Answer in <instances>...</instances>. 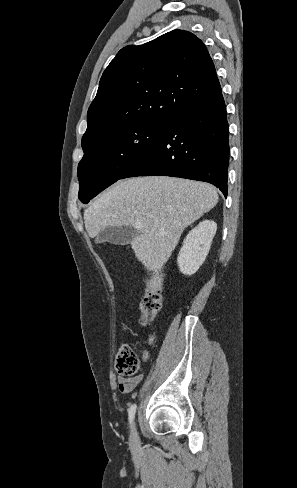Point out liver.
Returning a JSON list of instances; mask_svg holds the SVG:
<instances>
[{
	"mask_svg": "<svg viewBox=\"0 0 297 488\" xmlns=\"http://www.w3.org/2000/svg\"><path fill=\"white\" fill-rule=\"evenodd\" d=\"M217 202L216 189L204 182L164 176L120 180L84 211L85 228L95 238L107 227H134L138 235L131 247L153 272L148 286L156 291L162 286V267L184 229Z\"/></svg>",
	"mask_w": 297,
	"mask_h": 488,
	"instance_id": "obj_1",
	"label": "liver"
}]
</instances>
